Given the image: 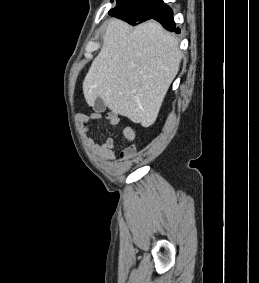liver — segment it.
<instances>
[{
  "instance_id": "6515ba94",
  "label": "liver",
  "mask_w": 259,
  "mask_h": 283,
  "mask_svg": "<svg viewBox=\"0 0 259 283\" xmlns=\"http://www.w3.org/2000/svg\"><path fill=\"white\" fill-rule=\"evenodd\" d=\"M179 41L155 21L131 28L111 19L83 82L89 106L97 98L115 114L151 126L181 61Z\"/></svg>"
}]
</instances>
